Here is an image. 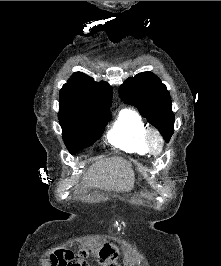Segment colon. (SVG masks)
I'll return each instance as SVG.
<instances>
[{"label":"colon","instance_id":"colon-1","mask_svg":"<svg viewBox=\"0 0 221 266\" xmlns=\"http://www.w3.org/2000/svg\"><path fill=\"white\" fill-rule=\"evenodd\" d=\"M82 257H86L87 251L83 249L80 252ZM98 256L100 260L104 263V266H119L116 262L117 253L115 248L108 244H105L99 251Z\"/></svg>","mask_w":221,"mask_h":266}]
</instances>
